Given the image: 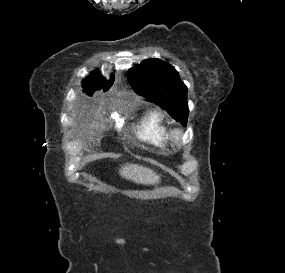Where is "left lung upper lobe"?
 <instances>
[{
    "mask_svg": "<svg viewBox=\"0 0 285 273\" xmlns=\"http://www.w3.org/2000/svg\"><path fill=\"white\" fill-rule=\"evenodd\" d=\"M128 80L138 94L158 104L186 126L189 113L187 87L168 63L147 59L129 70Z\"/></svg>",
    "mask_w": 285,
    "mask_h": 273,
    "instance_id": "1",
    "label": "left lung upper lobe"
}]
</instances>
